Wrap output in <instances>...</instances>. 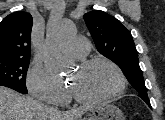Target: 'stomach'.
I'll use <instances>...</instances> for the list:
<instances>
[{
  "label": "stomach",
  "instance_id": "stomach-1",
  "mask_svg": "<svg viewBox=\"0 0 165 120\" xmlns=\"http://www.w3.org/2000/svg\"><path fill=\"white\" fill-rule=\"evenodd\" d=\"M77 120H125L122 111L112 104H100L86 109Z\"/></svg>",
  "mask_w": 165,
  "mask_h": 120
}]
</instances>
